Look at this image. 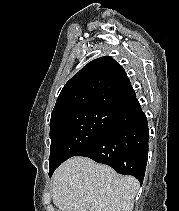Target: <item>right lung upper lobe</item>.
<instances>
[{
	"mask_svg": "<svg viewBox=\"0 0 179 211\" xmlns=\"http://www.w3.org/2000/svg\"><path fill=\"white\" fill-rule=\"evenodd\" d=\"M135 96L123 67L113 58L103 56L89 62L65 84L51 122L88 109L119 111Z\"/></svg>",
	"mask_w": 179,
	"mask_h": 211,
	"instance_id": "right-lung-upper-lobe-1",
	"label": "right lung upper lobe"
}]
</instances>
